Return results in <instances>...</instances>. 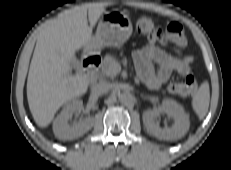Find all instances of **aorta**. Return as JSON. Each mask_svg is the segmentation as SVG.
<instances>
[{"label":"aorta","mask_w":231,"mask_h":170,"mask_svg":"<svg viewBox=\"0 0 231 170\" xmlns=\"http://www.w3.org/2000/svg\"><path fill=\"white\" fill-rule=\"evenodd\" d=\"M118 99L123 104H129L132 101V95L129 92H123L118 95Z\"/></svg>","instance_id":"obj_1"}]
</instances>
